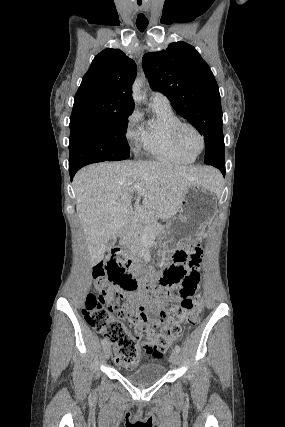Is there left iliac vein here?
<instances>
[{"label": "left iliac vein", "instance_id": "1", "mask_svg": "<svg viewBox=\"0 0 285 427\" xmlns=\"http://www.w3.org/2000/svg\"><path fill=\"white\" fill-rule=\"evenodd\" d=\"M179 359H180L179 352H177L175 349L172 350V352H171V362L174 365H177L179 363Z\"/></svg>", "mask_w": 285, "mask_h": 427}]
</instances>
